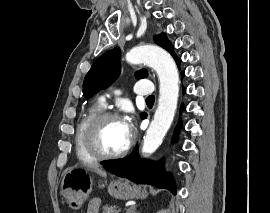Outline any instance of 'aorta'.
Returning a JSON list of instances; mask_svg holds the SVG:
<instances>
[{"mask_svg":"<svg viewBox=\"0 0 270 213\" xmlns=\"http://www.w3.org/2000/svg\"><path fill=\"white\" fill-rule=\"evenodd\" d=\"M126 61L132 64L146 63L159 78V102L154 118L143 138L142 152L154 153L163 141L174 119L179 96V74L172 57L155 46H139L126 54Z\"/></svg>","mask_w":270,"mask_h":213,"instance_id":"aorta-1","label":"aorta"}]
</instances>
